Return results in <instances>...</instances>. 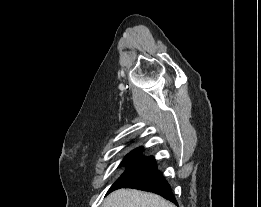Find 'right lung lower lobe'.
Returning <instances> with one entry per match:
<instances>
[{"label": "right lung lower lobe", "instance_id": "98d812e1", "mask_svg": "<svg viewBox=\"0 0 261 207\" xmlns=\"http://www.w3.org/2000/svg\"><path fill=\"white\" fill-rule=\"evenodd\" d=\"M123 188H134L143 191L153 192L167 200L177 204L174 195L172 194L171 187L164 179L163 175L156 168L149 172L140 175L122 186ZM120 187V188H122Z\"/></svg>", "mask_w": 261, "mask_h": 207}]
</instances>
